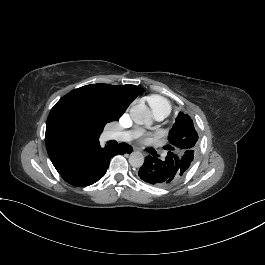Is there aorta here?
I'll use <instances>...</instances> for the list:
<instances>
[{"mask_svg": "<svg viewBox=\"0 0 265 265\" xmlns=\"http://www.w3.org/2000/svg\"><path fill=\"white\" fill-rule=\"evenodd\" d=\"M130 115L137 124L151 125L152 115L145 104L134 105L130 109ZM129 163L132 167L140 168L144 164V155L141 152H132L129 156Z\"/></svg>", "mask_w": 265, "mask_h": 265, "instance_id": "1", "label": "aorta"}]
</instances>
